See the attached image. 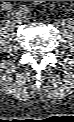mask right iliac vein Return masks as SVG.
Instances as JSON below:
<instances>
[{
    "mask_svg": "<svg viewBox=\"0 0 74 122\" xmlns=\"http://www.w3.org/2000/svg\"><path fill=\"white\" fill-rule=\"evenodd\" d=\"M12 19H19V15L17 14V13H11L10 15H9Z\"/></svg>",
    "mask_w": 74,
    "mask_h": 122,
    "instance_id": "1",
    "label": "right iliac vein"
}]
</instances>
